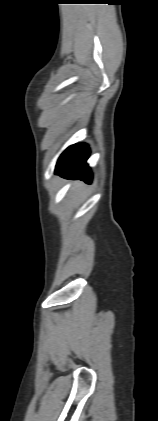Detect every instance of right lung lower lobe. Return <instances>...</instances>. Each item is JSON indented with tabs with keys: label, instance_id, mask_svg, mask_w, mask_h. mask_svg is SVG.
<instances>
[{
	"label": "right lung lower lobe",
	"instance_id": "1",
	"mask_svg": "<svg viewBox=\"0 0 158 421\" xmlns=\"http://www.w3.org/2000/svg\"><path fill=\"white\" fill-rule=\"evenodd\" d=\"M89 148L86 144H75L67 148L58 159L56 174L69 179H81L91 182L92 175L86 160L89 157Z\"/></svg>",
	"mask_w": 158,
	"mask_h": 421
}]
</instances>
